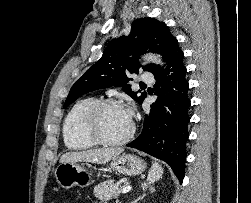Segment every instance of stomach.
Instances as JSON below:
<instances>
[{
  "label": "stomach",
  "mask_w": 251,
  "mask_h": 203,
  "mask_svg": "<svg viewBox=\"0 0 251 203\" xmlns=\"http://www.w3.org/2000/svg\"><path fill=\"white\" fill-rule=\"evenodd\" d=\"M108 168L120 174L131 176L141 174L146 168V163L134 155L122 152L110 161ZM54 175L59 186L66 190L73 186L84 188L92 182L91 172L84 163H61L55 169Z\"/></svg>",
  "instance_id": "stomach-1"
}]
</instances>
